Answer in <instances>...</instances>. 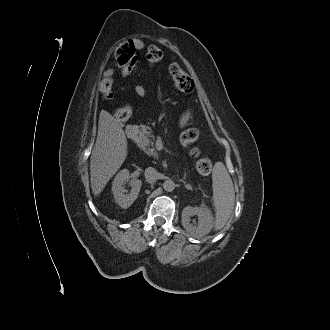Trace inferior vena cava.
<instances>
[{"instance_id":"inferior-vena-cava-1","label":"inferior vena cava","mask_w":330,"mask_h":330,"mask_svg":"<svg viewBox=\"0 0 330 330\" xmlns=\"http://www.w3.org/2000/svg\"><path fill=\"white\" fill-rule=\"evenodd\" d=\"M145 180L148 183L155 182L159 178V173L153 167H148L144 173Z\"/></svg>"}]
</instances>
